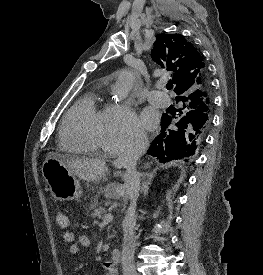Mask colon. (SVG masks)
Segmentation results:
<instances>
[{
	"label": "colon",
	"mask_w": 263,
	"mask_h": 275,
	"mask_svg": "<svg viewBox=\"0 0 263 275\" xmlns=\"http://www.w3.org/2000/svg\"><path fill=\"white\" fill-rule=\"evenodd\" d=\"M56 222L62 229H67L70 225V221L68 216L64 212H58L56 215ZM68 232H64L66 239H69L67 234Z\"/></svg>",
	"instance_id": "colon-1"
}]
</instances>
